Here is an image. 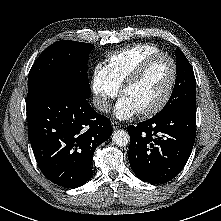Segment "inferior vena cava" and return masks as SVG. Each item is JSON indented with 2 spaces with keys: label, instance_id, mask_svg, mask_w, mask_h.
Masks as SVG:
<instances>
[{
  "label": "inferior vena cava",
  "instance_id": "1",
  "mask_svg": "<svg viewBox=\"0 0 221 221\" xmlns=\"http://www.w3.org/2000/svg\"><path fill=\"white\" fill-rule=\"evenodd\" d=\"M93 105L100 111H108L110 109L107 98L102 95H95L93 97Z\"/></svg>",
  "mask_w": 221,
  "mask_h": 221
}]
</instances>
